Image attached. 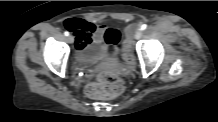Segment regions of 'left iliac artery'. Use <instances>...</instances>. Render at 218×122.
Instances as JSON below:
<instances>
[{"label": "left iliac artery", "instance_id": "left-iliac-artery-1", "mask_svg": "<svg viewBox=\"0 0 218 122\" xmlns=\"http://www.w3.org/2000/svg\"><path fill=\"white\" fill-rule=\"evenodd\" d=\"M147 28V24H143L142 26H141V30H145Z\"/></svg>", "mask_w": 218, "mask_h": 122}]
</instances>
